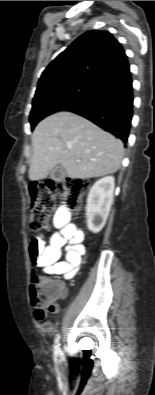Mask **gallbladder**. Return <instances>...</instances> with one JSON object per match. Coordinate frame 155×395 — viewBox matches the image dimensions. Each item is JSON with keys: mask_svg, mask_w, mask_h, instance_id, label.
<instances>
[{"mask_svg": "<svg viewBox=\"0 0 155 395\" xmlns=\"http://www.w3.org/2000/svg\"><path fill=\"white\" fill-rule=\"evenodd\" d=\"M66 173L65 170L62 166H56L51 172H50V178L54 181H61L65 178Z\"/></svg>", "mask_w": 155, "mask_h": 395, "instance_id": "bac80fb5", "label": "gallbladder"}]
</instances>
